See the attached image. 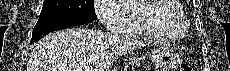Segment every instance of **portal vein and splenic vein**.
Returning <instances> with one entry per match:
<instances>
[{
  "mask_svg": "<svg viewBox=\"0 0 230 71\" xmlns=\"http://www.w3.org/2000/svg\"><path fill=\"white\" fill-rule=\"evenodd\" d=\"M78 71H96V70L89 68V67H85V68L78 69Z\"/></svg>",
  "mask_w": 230,
  "mask_h": 71,
  "instance_id": "18ae733b",
  "label": "portal vein and splenic vein"
}]
</instances>
